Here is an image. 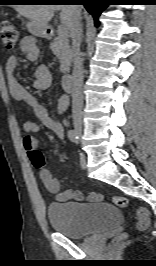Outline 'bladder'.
<instances>
[{
    "label": "bladder",
    "instance_id": "obj_1",
    "mask_svg": "<svg viewBox=\"0 0 156 266\" xmlns=\"http://www.w3.org/2000/svg\"><path fill=\"white\" fill-rule=\"evenodd\" d=\"M47 217L54 230L70 238L102 232L122 221L120 211L107 203H51L47 208Z\"/></svg>",
    "mask_w": 156,
    "mask_h": 266
}]
</instances>
